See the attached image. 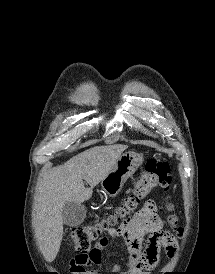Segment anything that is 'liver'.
<instances>
[{"mask_svg": "<svg viewBox=\"0 0 215 274\" xmlns=\"http://www.w3.org/2000/svg\"><path fill=\"white\" fill-rule=\"evenodd\" d=\"M126 145L90 148L44 174L37 187L33 225L41 253L52 262L63 236L62 210L66 202L81 204L92 196V189L111 171ZM85 180L90 187L84 186Z\"/></svg>", "mask_w": 215, "mask_h": 274, "instance_id": "liver-1", "label": "liver"}]
</instances>
